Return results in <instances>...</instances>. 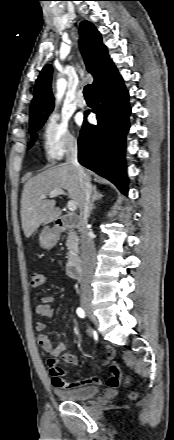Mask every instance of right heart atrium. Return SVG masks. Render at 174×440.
<instances>
[{"mask_svg":"<svg viewBox=\"0 0 174 440\" xmlns=\"http://www.w3.org/2000/svg\"><path fill=\"white\" fill-rule=\"evenodd\" d=\"M77 146V140L68 122L57 114H51L42 127V148L47 162L59 161Z\"/></svg>","mask_w":174,"mask_h":440,"instance_id":"obj_1","label":"right heart atrium"}]
</instances>
